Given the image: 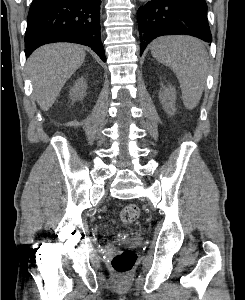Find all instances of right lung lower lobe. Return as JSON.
Wrapping results in <instances>:
<instances>
[{
  "mask_svg": "<svg viewBox=\"0 0 245 300\" xmlns=\"http://www.w3.org/2000/svg\"><path fill=\"white\" fill-rule=\"evenodd\" d=\"M52 42L87 45L106 61L100 40V0H33L27 18L25 54Z\"/></svg>",
  "mask_w": 245,
  "mask_h": 300,
  "instance_id": "right-lung-lower-lobe-1",
  "label": "right lung lower lobe"
}]
</instances>
